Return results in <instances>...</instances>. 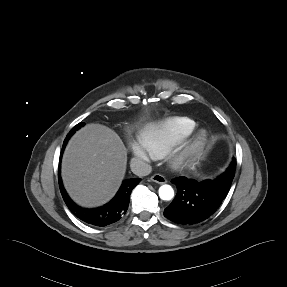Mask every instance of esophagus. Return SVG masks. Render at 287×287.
Segmentation results:
<instances>
[{
    "label": "esophagus",
    "instance_id": "34e87169",
    "mask_svg": "<svg viewBox=\"0 0 287 287\" xmlns=\"http://www.w3.org/2000/svg\"><path fill=\"white\" fill-rule=\"evenodd\" d=\"M152 182L158 183V184H164L166 183V179L164 176L160 174H154L151 178Z\"/></svg>",
    "mask_w": 287,
    "mask_h": 287
}]
</instances>
